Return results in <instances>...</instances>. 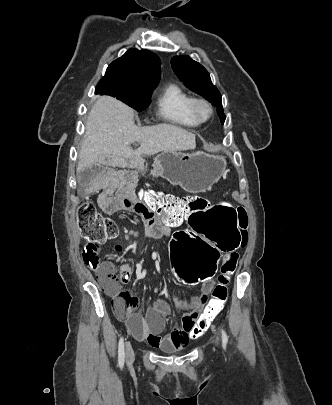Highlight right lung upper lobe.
<instances>
[{"label":"right lung upper lobe","mask_w":332,"mask_h":405,"mask_svg":"<svg viewBox=\"0 0 332 405\" xmlns=\"http://www.w3.org/2000/svg\"><path fill=\"white\" fill-rule=\"evenodd\" d=\"M161 61L148 50L129 49L123 56L114 60L105 75H120L136 83L158 84L161 74Z\"/></svg>","instance_id":"1"}]
</instances>
